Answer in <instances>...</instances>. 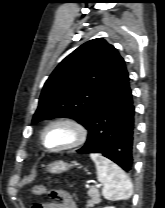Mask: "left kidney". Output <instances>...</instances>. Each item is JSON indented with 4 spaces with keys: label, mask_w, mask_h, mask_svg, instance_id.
Returning a JSON list of instances; mask_svg holds the SVG:
<instances>
[{
    "label": "left kidney",
    "mask_w": 165,
    "mask_h": 208,
    "mask_svg": "<svg viewBox=\"0 0 165 208\" xmlns=\"http://www.w3.org/2000/svg\"><path fill=\"white\" fill-rule=\"evenodd\" d=\"M104 208H115L114 206H107V207H104Z\"/></svg>",
    "instance_id": "5707ae66"
}]
</instances>
